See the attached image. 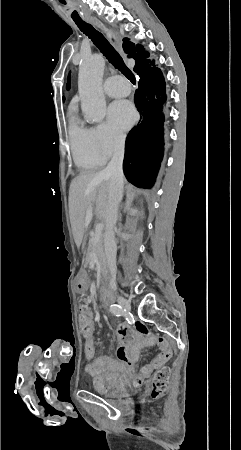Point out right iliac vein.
Returning <instances> with one entry per match:
<instances>
[{
  "label": "right iliac vein",
  "instance_id": "right-iliac-vein-1",
  "mask_svg": "<svg viewBox=\"0 0 241 450\" xmlns=\"http://www.w3.org/2000/svg\"><path fill=\"white\" fill-rule=\"evenodd\" d=\"M116 297H117L118 303L121 305V307L126 311H130V309H131L130 303L125 298H123L122 296H120L118 294L116 295Z\"/></svg>",
  "mask_w": 241,
  "mask_h": 450
}]
</instances>
